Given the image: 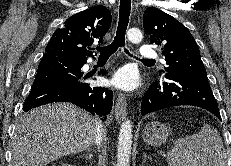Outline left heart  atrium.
Returning a JSON list of instances; mask_svg holds the SVG:
<instances>
[{"label": "left heart atrium", "instance_id": "left-heart-atrium-1", "mask_svg": "<svg viewBox=\"0 0 231 166\" xmlns=\"http://www.w3.org/2000/svg\"><path fill=\"white\" fill-rule=\"evenodd\" d=\"M112 84L117 88L132 91L140 85L137 70L130 66L120 68L112 78Z\"/></svg>", "mask_w": 231, "mask_h": 166}]
</instances>
